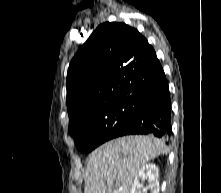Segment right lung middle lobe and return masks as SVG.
I'll return each instance as SVG.
<instances>
[{
    "instance_id": "obj_1",
    "label": "right lung middle lobe",
    "mask_w": 221,
    "mask_h": 193,
    "mask_svg": "<svg viewBox=\"0 0 221 193\" xmlns=\"http://www.w3.org/2000/svg\"><path fill=\"white\" fill-rule=\"evenodd\" d=\"M139 103V99L118 100L79 120L69 132L77 137V148L87 153L112 139L136 115Z\"/></svg>"
}]
</instances>
